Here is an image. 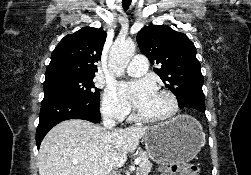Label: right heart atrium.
<instances>
[{
	"mask_svg": "<svg viewBox=\"0 0 251 175\" xmlns=\"http://www.w3.org/2000/svg\"><path fill=\"white\" fill-rule=\"evenodd\" d=\"M101 112L105 117L116 122L130 120L133 117L130 107L119 98L114 87L104 90L101 98Z\"/></svg>",
	"mask_w": 251,
	"mask_h": 175,
	"instance_id": "right-heart-atrium-1",
	"label": "right heart atrium"
}]
</instances>
